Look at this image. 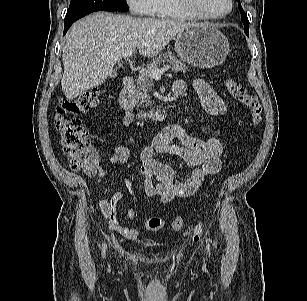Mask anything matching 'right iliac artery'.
<instances>
[{
  "instance_id": "obj_1",
  "label": "right iliac artery",
  "mask_w": 307,
  "mask_h": 301,
  "mask_svg": "<svg viewBox=\"0 0 307 301\" xmlns=\"http://www.w3.org/2000/svg\"><path fill=\"white\" fill-rule=\"evenodd\" d=\"M106 245H103V255L105 254Z\"/></svg>"
}]
</instances>
